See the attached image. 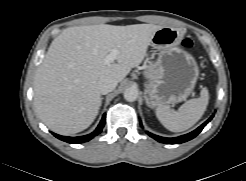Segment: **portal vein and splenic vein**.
Wrapping results in <instances>:
<instances>
[{"mask_svg":"<svg viewBox=\"0 0 246 181\" xmlns=\"http://www.w3.org/2000/svg\"><path fill=\"white\" fill-rule=\"evenodd\" d=\"M118 54H119L118 49H112V51L106 56L105 63L106 64L113 63L114 60L117 58Z\"/></svg>","mask_w":246,"mask_h":181,"instance_id":"obj_1","label":"portal vein and splenic vein"}]
</instances>
